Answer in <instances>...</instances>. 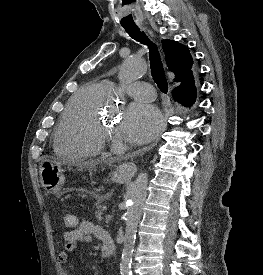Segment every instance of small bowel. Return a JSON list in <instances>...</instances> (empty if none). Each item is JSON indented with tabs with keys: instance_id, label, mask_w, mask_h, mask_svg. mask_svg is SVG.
Here are the masks:
<instances>
[{
	"instance_id": "c3829d8e",
	"label": "small bowel",
	"mask_w": 263,
	"mask_h": 275,
	"mask_svg": "<svg viewBox=\"0 0 263 275\" xmlns=\"http://www.w3.org/2000/svg\"><path fill=\"white\" fill-rule=\"evenodd\" d=\"M106 231L92 221L84 220L77 224L75 228L67 230L63 233L64 245L58 254V261L62 266L68 263L69 255L73 253L79 244H88L93 237L103 242V236ZM103 250V249H102ZM64 275H71L68 270H64Z\"/></svg>"
}]
</instances>
